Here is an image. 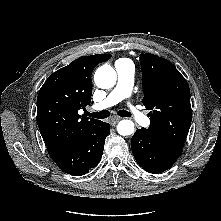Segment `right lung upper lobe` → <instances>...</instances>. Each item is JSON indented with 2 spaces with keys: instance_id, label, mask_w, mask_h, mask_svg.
<instances>
[{
  "instance_id": "cb5924a9",
  "label": "right lung upper lobe",
  "mask_w": 221,
  "mask_h": 221,
  "mask_svg": "<svg viewBox=\"0 0 221 221\" xmlns=\"http://www.w3.org/2000/svg\"><path fill=\"white\" fill-rule=\"evenodd\" d=\"M110 54L83 56L51 74L37 97V123L49 155L59 151L99 120L79 115L91 102L94 67Z\"/></svg>"
}]
</instances>
